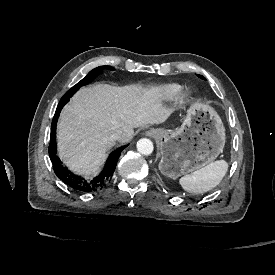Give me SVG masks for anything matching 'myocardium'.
<instances>
[{
  "label": "myocardium",
  "mask_w": 275,
  "mask_h": 275,
  "mask_svg": "<svg viewBox=\"0 0 275 275\" xmlns=\"http://www.w3.org/2000/svg\"><path fill=\"white\" fill-rule=\"evenodd\" d=\"M178 101L180 103H185L188 99V93L185 92V91H181L179 94H178V97H177Z\"/></svg>",
  "instance_id": "obj_1"
}]
</instances>
